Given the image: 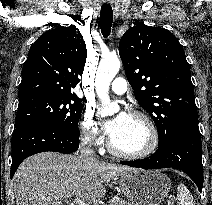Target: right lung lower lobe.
<instances>
[{
    "label": "right lung lower lobe",
    "mask_w": 212,
    "mask_h": 205,
    "mask_svg": "<svg viewBox=\"0 0 212 205\" xmlns=\"http://www.w3.org/2000/svg\"><path fill=\"white\" fill-rule=\"evenodd\" d=\"M11 178L21 162L36 153L56 151L72 153L79 147V137L48 123H32L15 129L12 142Z\"/></svg>",
    "instance_id": "right-lung-lower-lobe-1"
}]
</instances>
